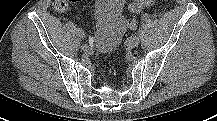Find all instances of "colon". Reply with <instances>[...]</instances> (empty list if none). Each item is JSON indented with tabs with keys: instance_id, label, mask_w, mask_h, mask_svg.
<instances>
[{
	"instance_id": "obj_1",
	"label": "colon",
	"mask_w": 217,
	"mask_h": 121,
	"mask_svg": "<svg viewBox=\"0 0 217 121\" xmlns=\"http://www.w3.org/2000/svg\"><path fill=\"white\" fill-rule=\"evenodd\" d=\"M81 0H53V8L58 12H66L75 7Z\"/></svg>"
}]
</instances>
